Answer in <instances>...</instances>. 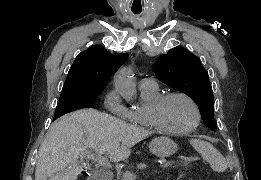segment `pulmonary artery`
<instances>
[{
  "instance_id": "1",
  "label": "pulmonary artery",
  "mask_w": 261,
  "mask_h": 180,
  "mask_svg": "<svg viewBox=\"0 0 261 180\" xmlns=\"http://www.w3.org/2000/svg\"><path fill=\"white\" fill-rule=\"evenodd\" d=\"M156 85V81L148 77H143L139 80L140 88H153L156 87Z\"/></svg>"
}]
</instances>
